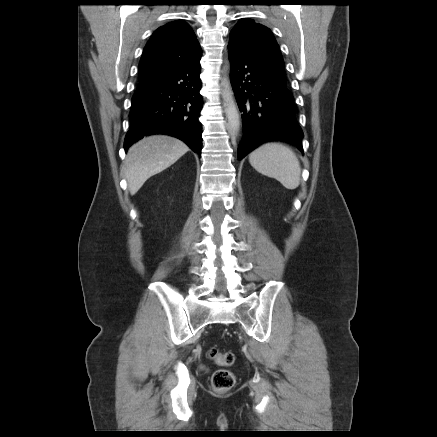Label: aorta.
<instances>
[{"label":"aorta","mask_w":437,"mask_h":437,"mask_svg":"<svg viewBox=\"0 0 437 437\" xmlns=\"http://www.w3.org/2000/svg\"><path fill=\"white\" fill-rule=\"evenodd\" d=\"M221 87V95L224 103V111L228 120V125L230 131L234 135H237L240 130V116L234 101L233 91L227 77H223Z\"/></svg>","instance_id":"1"}]
</instances>
